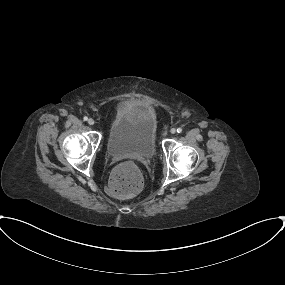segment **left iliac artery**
I'll use <instances>...</instances> for the list:
<instances>
[{"mask_svg":"<svg viewBox=\"0 0 285 285\" xmlns=\"http://www.w3.org/2000/svg\"><path fill=\"white\" fill-rule=\"evenodd\" d=\"M177 132L181 133L182 132V128H177Z\"/></svg>","mask_w":285,"mask_h":285,"instance_id":"obj_1","label":"left iliac artery"}]
</instances>
